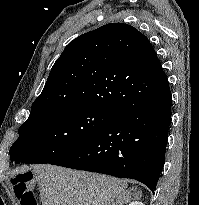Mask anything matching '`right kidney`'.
<instances>
[{
    "mask_svg": "<svg viewBox=\"0 0 199 205\" xmlns=\"http://www.w3.org/2000/svg\"><path fill=\"white\" fill-rule=\"evenodd\" d=\"M129 205H144V204L142 202L135 201V202H131Z\"/></svg>",
    "mask_w": 199,
    "mask_h": 205,
    "instance_id": "obj_1",
    "label": "right kidney"
}]
</instances>
